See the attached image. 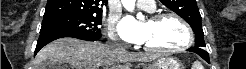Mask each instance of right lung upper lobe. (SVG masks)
I'll list each match as a JSON object with an SVG mask.
<instances>
[{
  "instance_id": "right-lung-upper-lobe-1",
  "label": "right lung upper lobe",
  "mask_w": 246,
  "mask_h": 69,
  "mask_svg": "<svg viewBox=\"0 0 246 69\" xmlns=\"http://www.w3.org/2000/svg\"><path fill=\"white\" fill-rule=\"evenodd\" d=\"M100 2L107 0H48L44 17L61 14H93L102 15Z\"/></svg>"
}]
</instances>
